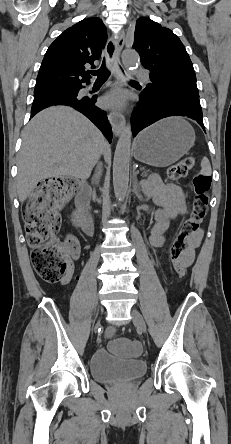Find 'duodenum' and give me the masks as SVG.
Returning a JSON list of instances; mask_svg holds the SVG:
<instances>
[{"label":"duodenum","mask_w":231,"mask_h":444,"mask_svg":"<svg viewBox=\"0 0 231 444\" xmlns=\"http://www.w3.org/2000/svg\"><path fill=\"white\" fill-rule=\"evenodd\" d=\"M91 192V186L88 183L83 182L80 185L76 198V205L81 216V227L87 235L93 234V221L89 214Z\"/></svg>","instance_id":"1"}]
</instances>
